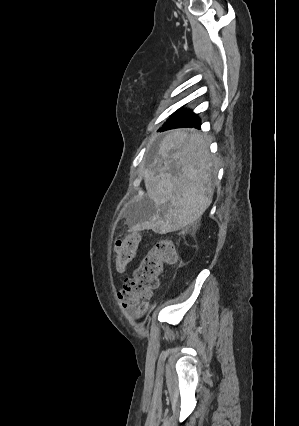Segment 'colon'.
<instances>
[{"label": "colon", "mask_w": 299, "mask_h": 426, "mask_svg": "<svg viewBox=\"0 0 299 426\" xmlns=\"http://www.w3.org/2000/svg\"><path fill=\"white\" fill-rule=\"evenodd\" d=\"M140 244V235L130 233L115 244V263L119 271L134 260ZM176 260V248L171 238L159 239L144 254L133 274L125 279L123 288L118 294L121 305L134 317H140L146 310L149 300L159 285V276L167 264Z\"/></svg>", "instance_id": "1"}]
</instances>
